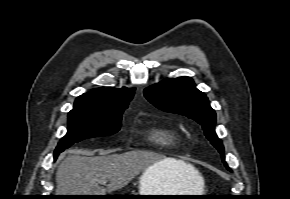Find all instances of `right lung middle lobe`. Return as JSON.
I'll return each instance as SVG.
<instances>
[{"label": "right lung middle lobe", "instance_id": "obj_1", "mask_svg": "<svg viewBox=\"0 0 290 199\" xmlns=\"http://www.w3.org/2000/svg\"><path fill=\"white\" fill-rule=\"evenodd\" d=\"M68 132L58 143L54 158L72 144L92 137L115 134L120 130L122 111L114 113H94L71 110L69 112Z\"/></svg>", "mask_w": 290, "mask_h": 199}]
</instances>
